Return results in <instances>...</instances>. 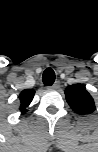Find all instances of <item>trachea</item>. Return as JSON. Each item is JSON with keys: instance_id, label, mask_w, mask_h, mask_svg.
Returning a JSON list of instances; mask_svg holds the SVG:
<instances>
[{"instance_id": "3493384b", "label": "trachea", "mask_w": 98, "mask_h": 152, "mask_svg": "<svg viewBox=\"0 0 98 152\" xmlns=\"http://www.w3.org/2000/svg\"><path fill=\"white\" fill-rule=\"evenodd\" d=\"M42 81H43L44 85H49V86H51L54 83L55 72L53 71V69L47 68L43 72Z\"/></svg>"}]
</instances>
